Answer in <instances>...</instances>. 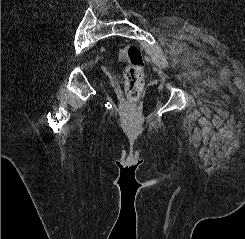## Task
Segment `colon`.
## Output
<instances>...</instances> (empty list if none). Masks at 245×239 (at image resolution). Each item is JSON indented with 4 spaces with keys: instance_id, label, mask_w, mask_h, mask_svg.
<instances>
[{
    "instance_id": "5ec220e1",
    "label": "colon",
    "mask_w": 245,
    "mask_h": 239,
    "mask_svg": "<svg viewBox=\"0 0 245 239\" xmlns=\"http://www.w3.org/2000/svg\"><path fill=\"white\" fill-rule=\"evenodd\" d=\"M124 64V78L127 98L134 102L143 89L145 62L140 48L130 44L120 51Z\"/></svg>"
}]
</instances>
